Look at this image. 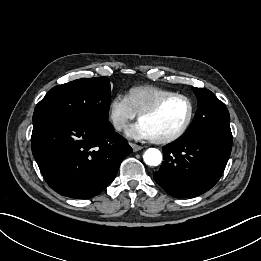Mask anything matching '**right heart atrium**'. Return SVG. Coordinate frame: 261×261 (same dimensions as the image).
Here are the masks:
<instances>
[{"label":"right heart atrium","mask_w":261,"mask_h":261,"mask_svg":"<svg viewBox=\"0 0 261 261\" xmlns=\"http://www.w3.org/2000/svg\"><path fill=\"white\" fill-rule=\"evenodd\" d=\"M136 116L126 96H115L109 105V120L116 131L123 130Z\"/></svg>","instance_id":"d8ad5b80"}]
</instances>
